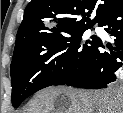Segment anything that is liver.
Masks as SVG:
<instances>
[{
    "label": "liver",
    "mask_w": 123,
    "mask_h": 113,
    "mask_svg": "<svg viewBox=\"0 0 123 113\" xmlns=\"http://www.w3.org/2000/svg\"><path fill=\"white\" fill-rule=\"evenodd\" d=\"M24 113H123V89L48 87L36 93Z\"/></svg>",
    "instance_id": "obj_1"
}]
</instances>
